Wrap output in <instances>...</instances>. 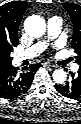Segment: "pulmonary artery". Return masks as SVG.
<instances>
[{
  "mask_svg": "<svg viewBox=\"0 0 81 124\" xmlns=\"http://www.w3.org/2000/svg\"><path fill=\"white\" fill-rule=\"evenodd\" d=\"M61 30H62V19L58 16L50 17L47 20V39L43 41H39L34 45H32L31 47H29L28 49L19 52L15 56V60L17 62H20L25 59H31L33 57H36L46 49L48 45V41L50 39L57 38L60 35ZM71 69L73 71H76L78 69V65L73 64L71 66Z\"/></svg>",
  "mask_w": 81,
  "mask_h": 124,
  "instance_id": "obj_1",
  "label": "pulmonary artery"
}]
</instances>
